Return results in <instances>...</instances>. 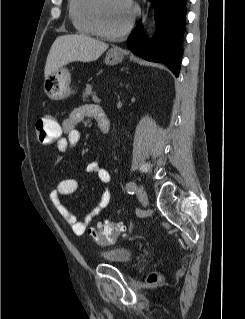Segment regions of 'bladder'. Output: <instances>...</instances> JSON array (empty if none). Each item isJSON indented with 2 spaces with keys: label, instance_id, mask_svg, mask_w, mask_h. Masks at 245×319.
Masks as SVG:
<instances>
[{
  "label": "bladder",
  "instance_id": "31cf9c89",
  "mask_svg": "<svg viewBox=\"0 0 245 319\" xmlns=\"http://www.w3.org/2000/svg\"><path fill=\"white\" fill-rule=\"evenodd\" d=\"M100 258L111 263L127 264L131 260V252L126 247L116 246L102 251Z\"/></svg>",
  "mask_w": 245,
  "mask_h": 319
}]
</instances>
